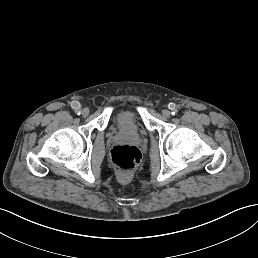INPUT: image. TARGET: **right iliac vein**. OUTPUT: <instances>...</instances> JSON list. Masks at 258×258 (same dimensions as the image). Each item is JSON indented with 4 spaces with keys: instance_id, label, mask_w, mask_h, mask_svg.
<instances>
[{
    "instance_id": "right-iliac-vein-1",
    "label": "right iliac vein",
    "mask_w": 258,
    "mask_h": 258,
    "mask_svg": "<svg viewBox=\"0 0 258 258\" xmlns=\"http://www.w3.org/2000/svg\"><path fill=\"white\" fill-rule=\"evenodd\" d=\"M81 113H82V115H83V116H85V117H86V116H88V115H89V113H90V112H89V110H88V109H86V108H85V109H83V110H82V112H81Z\"/></svg>"
}]
</instances>
